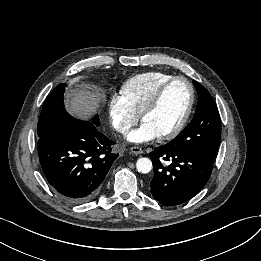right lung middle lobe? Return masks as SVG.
I'll return each mask as SVG.
<instances>
[{
    "instance_id": "1",
    "label": "right lung middle lobe",
    "mask_w": 261,
    "mask_h": 261,
    "mask_svg": "<svg viewBox=\"0 0 261 261\" xmlns=\"http://www.w3.org/2000/svg\"><path fill=\"white\" fill-rule=\"evenodd\" d=\"M65 87L66 84H59L44 101L37 129L39 139L50 136L69 121L75 119L66 112L64 107L63 93ZM92 122L97 125L100 124L97 115Z\"/></svg>"
}]
</instances>
